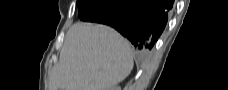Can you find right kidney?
Returning <instances> with one entry per match:
<instances>
[{"label":"right kidney","instance_id":"ca27d5eb","mask_svg":"<svg viewBox=\"0 0 228 90\" xmlns=\"http://www.w3.org/2000/svg\"><path fill=\"white\" fill-rule=\"evenodd\" d=\"M109 90H121L120 86H113L112 88H109Z\"/></svg>","mask_w":228,"mask_h":90}]
</instances>
